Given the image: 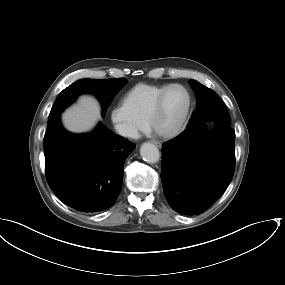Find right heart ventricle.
Masks as SVG:
<instances>
[{
    "mask_svg": "<svg viewBox=\"0 0 285 285\" xmlns=\"http://www.w3.org/2000/svg\"><path fill=\"white\" fill-rule=\"evenodd\" d=\"M166 86L167 84H137L125 94L123 102L129 107L136 118L145 121L150 109Z\"/></svg>",
    "mask_w": 285,
    "mask_h": 285,
    "instance_id": "obj_1",
    "label": "right heart ventricle"
}]
</instances>
